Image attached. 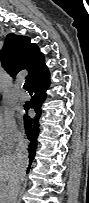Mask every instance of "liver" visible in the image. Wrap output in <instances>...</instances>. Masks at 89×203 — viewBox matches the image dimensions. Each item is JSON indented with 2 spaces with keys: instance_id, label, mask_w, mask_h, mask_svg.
Returning <instances> with one entry per match:
<instances>
[{
  "instance_id": "liver-1",
  "label": "liver",
  "mask_w": 89,
  "mask_h": 203,
  "mask_svg": "<svg viewBox=\"0 0 89 203\" xmlns=\"http://www.w3.org/2000/svg\"><path fill=\"white\" fill-rule=\"evenodd\" d=\"M19 162L14 154L0 156V196L7 203L13 202V194L20 179Z\"/></svg>"
}]
</instances>
